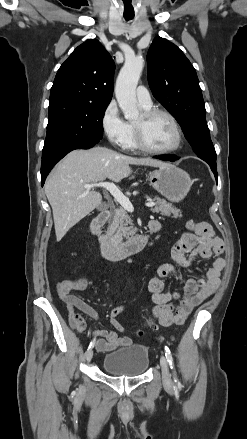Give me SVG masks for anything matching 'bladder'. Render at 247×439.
<instances>
[{
  "label": "bladder",
  "mask_w": 247,
  "mask_h": 439,
  "mask_svg": "<svg viewBox=\"0 0 247 439\" xmlns=\"http://www.w3.org/2000/svg\"><path fill=\"white\" fill-rule=\"evenodd\" d=\"M149 366L147 347L133 344L106 354L102 361L105 372L114 376L135 377Z\"/></svg>",
  "instance_id": "1"
}]
</instances>
